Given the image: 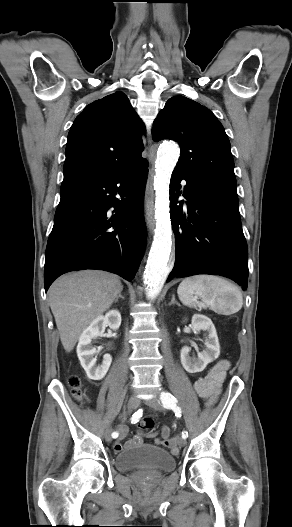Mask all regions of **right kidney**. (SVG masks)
Instances as JSON below:
<instances>
[{
	"label": "right kidney",
	"instance_id": "obj_1",
	"mask_svg": "<svg viewBox=\"0 0 292 527\" xmlns=\"http://www.w3.org/2000/svg\"><path fill=\"white\" fill-rule=\"evenodd\" d=\"M121 325V315L117 310H111L105 316H99L93 320L83 331L77 346V355L87 376L91 380H101L106 375L112 357L109 354L103 356L101 365H96V349L91 346L92 340L102 335L108 326L112 330H117Z\"/></svg>",
	"mask_w": 292,
	"mask_h": 527
}]
</instances>
